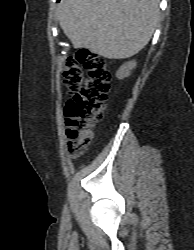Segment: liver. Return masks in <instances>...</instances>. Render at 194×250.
<instances>
[{"instance_id":"liver-1","label":"liver","mask_w":194,"mask_h":250,"mask_svg":"<svg viewBox=\"0 0 194 250\" xmlns=\"http://www.w3.org/2000/svg\"><path fill=\"white\" fill-rule=\"evenodd\" d=\"M58 18L76 49L126 59L151 39L159 20V0H61Z\"/></svg>"}]
</instances>
